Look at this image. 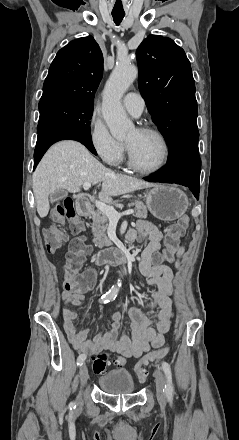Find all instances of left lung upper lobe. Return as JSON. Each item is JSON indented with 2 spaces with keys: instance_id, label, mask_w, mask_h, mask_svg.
I'll use <instances>...</instances> for the list:
<instances>
[{
  "instance_id": "1",
  "label": "left lung upper lobe",
  "mask_w": 239,
  "mask_h": 440,
  "mask_svg": "<svg viewBox=\"0 0 239 440\" xmlns=\"http://www.w3.org/2000/svg\"><path fill=\"white\" fill-rule=\"evenodd\" d=\"M139 89L167 143L197 128V101L191 65L172 39L149 35L138 47Z\"/></svg>"
}]
</instances>
